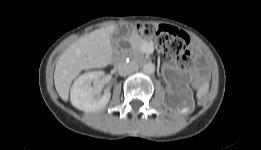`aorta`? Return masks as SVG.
Segmentation results:
<instances>
[{"mask_svg": "<svg viewBox=\"0 0 261 150\" xmlns=\"http://www.w3.org/2000/svg\"><path fill=\"white\" fill-rule=\"evenodd\" d=\"M155 71V65L151 62L149 63H146L144 66H143V72L146 73V74H151Z\"/></svg>", "mask_w": 261, "mask_h": 150, "instance_id": "obj_1", "label": "aorta"}]
</instances>
